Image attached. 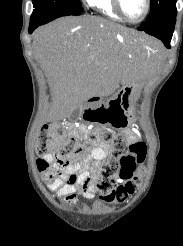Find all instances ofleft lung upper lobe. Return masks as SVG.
<instances>
[{"mask_svg":"<svg viewBox=\"0 0 183 246\" xmlns=\"http://www.w3.org/2000/svg\"><path fill=\"white\" fill-rule=\"evenodd\" d=\"M151 10L146 21L138 30L152 29L176 19L177 0H150Z\"/></svg>","mask_w":183,"mask_h":246,"instance_id":"1","label":"left lung upper lobe"}]
</instances>
